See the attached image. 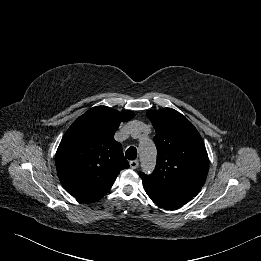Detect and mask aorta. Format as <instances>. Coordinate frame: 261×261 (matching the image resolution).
<instances>
[{"label": "aorta", "mask_w": 261, "mask_h": 261, "mask_svg": "<svg viewBox=\"0 0 261 261\" xmlns=\"http://www.w3.org/2000/svg\"><path fill=\"white\" fill-rule=\"evenodd\" d=\"M156 147L154 143L146 139L139 145V157L141 160L142 168L146 173L153 171L156 162Z\"/></svg>", "instance_id": "obj_1"}]
</instances>
